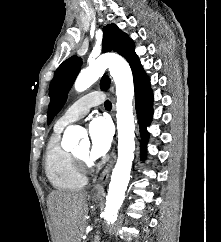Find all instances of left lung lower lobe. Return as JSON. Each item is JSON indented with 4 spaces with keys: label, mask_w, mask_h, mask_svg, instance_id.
I'll list each match as a JSON object with an SVG mask.
<instances>
[{
    "label": "left lung lower lobe",
    "mask_w": 221,
    "mask_h": 242,
    "mask_svg": "<svg viewBox=\"0 0 221 242\" xmlns=\"http://www.w3.org/2000/svg\"><path fill=\"white\" fill-rule=\"evenodd\" d=\"M135 89V106L140 124V132L144 151L145 143L148 140L147 126L150 125L153 109V93L150 88L149 80L143 68L133 73Z\"/></svg>",
    "instance_id": "obj_1"
}]
</instances>
